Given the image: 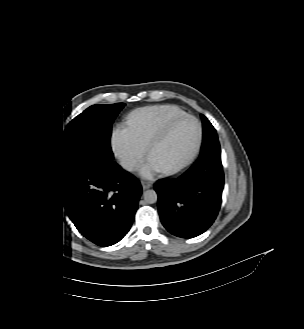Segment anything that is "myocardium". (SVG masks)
<instances>
[{
    "instance_id": "1",
    "label": "myocardium",
    "mask_w": 304,
    "mask_h": 329,
    "mask_svg": "<svg viewBox=\"0 0 304 329\" xmlns=\"http://www.w3.org/2000/svg\"><path fill=\"white\" fill-rule=\"evenodd\" d=\"M184 119H192L197 123V126H198L197 141H196L195 146H194L193 150L191 151V153L181 163H179L175 166H171V167H167V168L157 170V172L162 174V175H172V174L178 173L179 171L186 168L188 165H190L193 162V160L196 158V156L199 153V150L201 148L202 141H203V126H202V123L195 116L190 115V114H184V115L177 116V117L172 118L171 120H169L166 123V125L163 127V129L150 140V142L147 144V146L145 148L146 161L149 162V156H150L152 150L157 145H159L161 142H163L169 136L172 128L177 123H179L180 121H182Z\"/></svg>"
}]
</instances>
